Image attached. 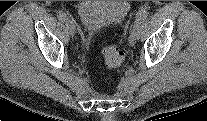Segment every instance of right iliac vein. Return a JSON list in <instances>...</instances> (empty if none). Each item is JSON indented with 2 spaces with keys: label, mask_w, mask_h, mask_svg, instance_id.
I'll use <instances>...</instances> for the list:
<instances>
[{
  "label": "right iliac vein",
  "mask_w": 207,
  "mask_h": 121,
  "mask_svg": "<svg viewBox=\"0 0 207 121\" xmlns=\"http://www.w3.org/2000/svg\"><path fill=\"white\" fill-rule=\"evenodd\" d=\"M66 25L68 27L69 33L71 36H74L76 33V28H75V24L73 23L72 20L67 19L66 20Z\"/></svg>",
  "instance_id": "right-iliac-vein-1"
}]
</instances>
